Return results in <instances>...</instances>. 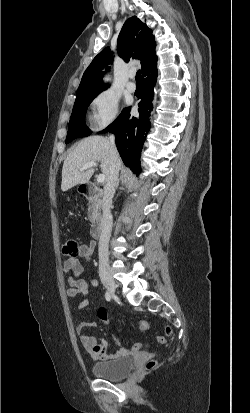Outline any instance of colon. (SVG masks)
<instances>
[{"instance_id":"obj_1","label":"colon","mask_w":250,"mask_h":413,"mask_svg":"<svg viewBox=\"0 0 250 413\" xmlns=\"http://www.w3.org/2000/svg\"><path fill=\"white\" fill-rule=\"evenodd\" d=\"M63 252H64L65 255H68V256H76L79 252V244H78L77 240L68 239L65 242L64 246H63ZM98 315H99V318L103 322H105V323L109 322L108 314H107V312L104 308H101L99 310ZM149 327H150V322L148 320H140L138 322V328H139L140 331H145ZM166 334L168 336H170L172 334V331H171L170 328H166ZM122 340L124 341L125 339L123 338ZM156 341L159 344H164L165 343V338L162 337V336H158L156 338ZM127 346L130 348V352L133 355H136L139 351H141L142 349L145 350L150 345L147 344L146 342H142V341H136V342L131 341ZM156 365H157L156 360L151 359V360L147 361V363L145 365V370L150 371V370L154 369L156 367Z\"/></svg>"}]
</instances>
